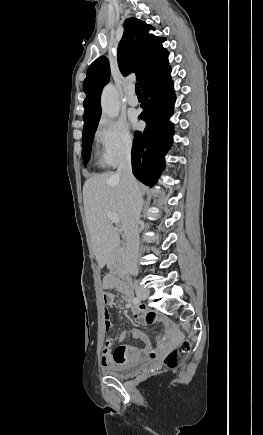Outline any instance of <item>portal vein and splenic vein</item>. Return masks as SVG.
<instances>
[{
  "mask_svg": "<svg viewBox=\"0 0 263 435\" xmlns=\"http://www.w3.org/2000/svg\"><path fill=\"white\" fill-rule=\"evenodd\" d=\"M107 217L111 220L112 223H119L120 221L119 216L112 212H107Z\"/></svg>",
  "mask_w": 263,
  "mask_h": 435,
  "instance_id": "obj_1",
  "label": "portal vein and splenic vein"
}]
</instances>
